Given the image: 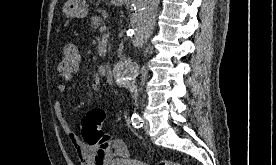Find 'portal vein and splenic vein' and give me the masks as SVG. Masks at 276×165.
<instances>
[{"label": "portal vein and splenic vein", "instance_id": "18ae733b", "mask_svg": "<svg viewBox=\"0 0 276 165\" xmlns=\"http://www.w3.org/2000/svg\"><path fill=\"white\" fill-rule=\"evenodd\" d=\"M99 31L101 33L106 32L107 31V27L106 26H102Z\"/></svg>", "mask_w": 276, "mask_h": 165}]
</instances>
